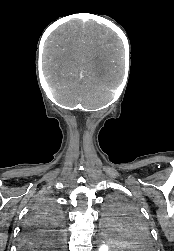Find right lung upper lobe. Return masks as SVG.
Instances as JSON below:
<instances>
[{"instance_id": "cb5924a9", "label": "right lung upper lobe", "mask_w": 174, "mask_h": 251, "mask_svg": "<svg viewBox=\"0 0 174 251\" xmlns=\"http://www.w3.org/2000/svg\"><path fill=\"white\" fill-rule=\"evenodd\" d=\"M47 245L46 241L40 240L39 235L34 233L32 237L22 243L21 248L23 250H44Z\"/></svg>"}]
</instances>
